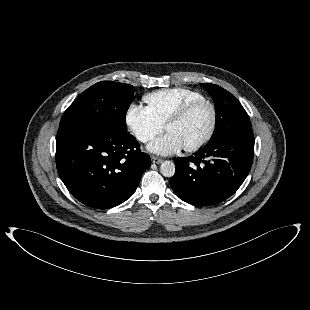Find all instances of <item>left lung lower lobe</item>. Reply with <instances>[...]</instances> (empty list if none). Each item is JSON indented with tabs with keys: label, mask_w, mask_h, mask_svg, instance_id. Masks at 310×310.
I'll return each instance as SVG.
<instances>
[{
	"label": "left lung lower lobe",
	"mask_w": 310,
	"mask_h": 310,
	"mask_svg": "<svg viewBox=\"0 0 310 310\" xmlns=\"http://www.w3.org/2000/svg\"><path fill=\"white\" fill-rule=\"evenodd\" d=\"M252 129L206 145L199 153L175 159L170 186L183 201L197 206L220 203L233 195L253 162Z\"/></svg>",
	"instance_id": "1"
}]
</instances>
